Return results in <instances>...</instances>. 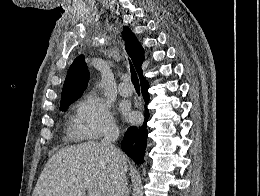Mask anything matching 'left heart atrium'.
<instances>
[{"label": "left heart atrium", "mask_w": 260, "mask_h": 196, "mask_svg": "<svg viewBox=\"0 0 260 196\" xmlns=\"http://www.w3.org/2000/svg\"><path fill=\"white\" fill-rule=\"evenodd\" d=\"M128 116L131 117V113L127 112ZM123 190H106V192H122Z\"/></svg>", "instance_id": "39dd6f15"}]
</instances>
